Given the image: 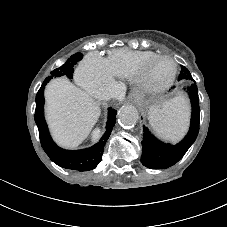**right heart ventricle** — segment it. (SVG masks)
Masks as SVG:
<instances>
[{
	"label": "right heart ventricle",
	"instance_id": "obj_1",
	"mask_svg": "<svg viewBox=\"0 0 227 227\" xmlns=\"http://www.w3.org/2000/svg\"><path fill=\"white\" fill-rule=\"evenodd\" d=\"M158 54L152 51L118 49L107 62L111 73L120 78H136L144 67Z\"/></svg>",
	"mask_w": 227,
	"mask_h": 227
}]
</instances>
